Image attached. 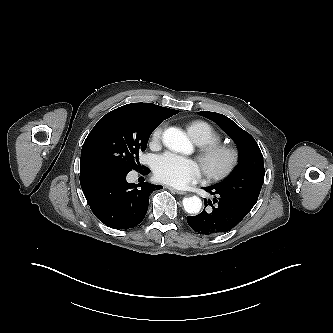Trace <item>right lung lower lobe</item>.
<instances>
[{"mask_svg":"<svg viewBox=\"0 0 333 333\" xmlns=\"http://www.w3.org/2000/svg\"><path fill=\"white\" fill-rule=\"evenodd\" d=\"M127 174L99 171L80 175L81 188L92 212L114 229H129L140 224L148 210L150 193L162 188L147 182L129 184Z\"/></svg>","mask_w":333,"mask_h":333,"instance_id":"98d812e1","label":"right lung lower lobe"}]
</instances>
